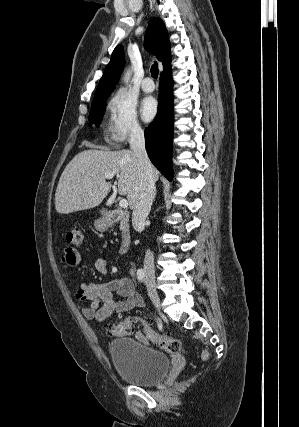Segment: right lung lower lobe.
Wrapping results in <instances>:
<instances>
[{
    "instance_id": "98d812e1",
    "label": "right lung lower lobe",
    "mask_w": 299,
    "mask_h": 427,
    "mask_svg": "<svg viewBox=\"0 0 299 427\" xmlns=\"http://www.w3.org/2000/svg\"><path fill=\"white\" fill-rule=\"evenodd\" d=\"M172 72L161 74L158 112L153 122L145 129L146 150L154 166L172 180L173 140V80Z\"/></svg>"
}]
</instances>
